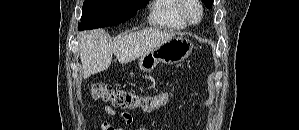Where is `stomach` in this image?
Returning <instances> with one entry per match:
<instances>
[{
    "label": "stomach",
    "instance_id": "obj_1",
    "mask_svg": "<svg viewBox=\"0 0 299 130\" xmlns=\"http://www.w3.org/2000/svg\"><path fill=\"white\" fill-rule=\"evenodd\" d=\"M193 50V43L183 37H173L155 47L139 59V67L143 72H151L161 62L176 64L189 57Z\"/></svg>",
    "mask_w": 299,
    "mask_h": 130
}]
</instances>
